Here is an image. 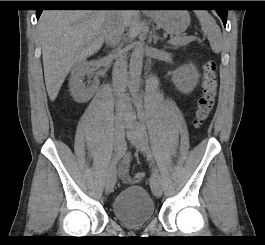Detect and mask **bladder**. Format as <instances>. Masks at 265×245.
Instances as JSON below:
<instances>
[{
    "label": "bladder",
    "mask_w": 265,
    "mask_h": 245,
    "mask_svg": "<svg viewBox=\"0 0 265 245\" xmlns=\"http://www.w3.org/2000/svg\"><path fill=\"white\" fill-rule=\"evenodd\" d=\"M155 204L141 186H129L114 199L112 213L125 226L148 223L155 215Z\"/></svg>",
    "instance_id": "obj_1"
}]
</instances>
